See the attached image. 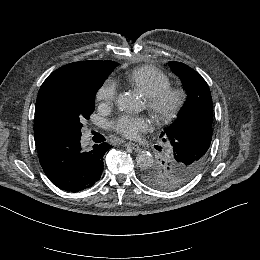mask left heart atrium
<instances>
[{"label": "left heart atrium", "instance_id": "obj_1", "mask_svg": "<svg viewBox=\"0 0 260 260\" xmlns=\"http://www.w3.org/2000/svg\"><path fill=\"white\" fill-rule=\"evenodd\" d=\"M152 122L145 116H132L124 114L119 117L114 123V129L121 135L137 139L142 132L149 130Z\"/></svg>", "mask_w": 260, "mask_h": 260}]
</instances>
